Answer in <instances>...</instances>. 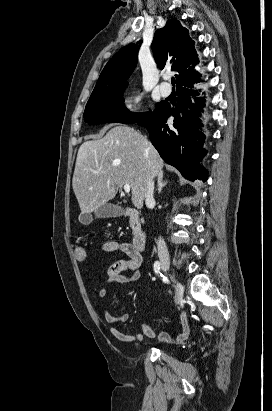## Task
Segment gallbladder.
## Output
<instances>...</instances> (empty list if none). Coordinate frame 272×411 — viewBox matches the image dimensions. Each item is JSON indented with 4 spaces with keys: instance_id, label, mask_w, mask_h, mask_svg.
<instances>
[{
    "instance_id": "gallbladder-1",
    "label": "gallbladder",
    "mask_w": 272,
    "mask_h": 411,
    "mask_svg": "<svg viewBox=\"0 0 272 411\" xmlns=\"http://www.w3.org/2000/svg\"><path fill=\"white\" fill-rule=\"evenodd\" d=\"M124 213V209L118 204L105 203L94 211L96 218H115L120 217ZM79 221L83 225H89L91 218L89 214H81Z\"/></svg>"
}]
</instances>
